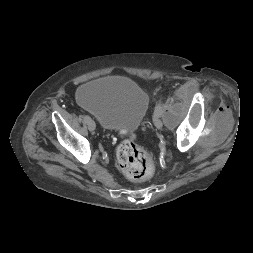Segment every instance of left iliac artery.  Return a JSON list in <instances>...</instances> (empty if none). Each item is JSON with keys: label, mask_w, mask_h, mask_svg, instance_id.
I'll return each mask as SVG.
<instances>
[{"label": "left iliac artery", "mask_w": 253, "mask_h": 253, "mask_svg": "<svg viewBox=\"0 0 253 253\" xmlns=\"http://www.w3.org/2000/svg\"><path fill=\"white\" fill-rule=\"evenodd\" d=\"M162 112H163L162 105H161L160 103H158V104L155 106L154 113H158V114L161 116V115H162Z\"/></svg>", "instance_id": "left-iliac-artery-1"}]
</instances>
